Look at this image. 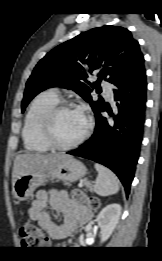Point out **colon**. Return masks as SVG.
Returning a JSON list of instances; mask_svg holds the SVG:
<instances>
[{
    "instance_id": "obj_1",
    "label": "colon",
    "mask_w": 162,
    "mask_h": 261,
    "mask_svg": "<svg viewBox=\"0 0 162 261\" xmlns=\"http://www.w3.org/2000/svg\"><path fill=\"white\" fill-rule=\"evenodd\" d=\"M74 199L85 202L91 209H97L99 200L94 197H87L81 191L74 193ZM20 240L25 248H42L48 244L47 238L40 228L32 221L25 222L20 227Z\"/></svg>"
}]
</instances>
